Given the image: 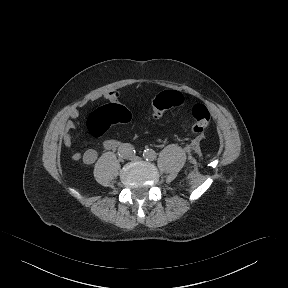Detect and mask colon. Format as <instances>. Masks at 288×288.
Returning <instances> with one entry per match:
<instances>
[{
	"mask_svg": "<svg viewBox=\"0 0 288 288\" xmlns=\"http://www.w3.org/2000/svg\"><path fill=\"white\" fill-rule=\"evenodd\" d=\"M182 97L176 92H166L159 96L153 104V117L161 118L163 113L174 107L180 106ZM129 119L128 111L117 104H108L97 107L88 118L89 133L95 137H101L111 126L127 122ZM210 122V115L206 108L197 107L193 110V123L191 131L194 134H202ZM91 151L84 154L87 159Z\"/></svg>",
	"mask_w": 288,
	"mask_h": 288,
	"instance_id": "5ec220e1",
	"label": "colon"
}]
</instances>
